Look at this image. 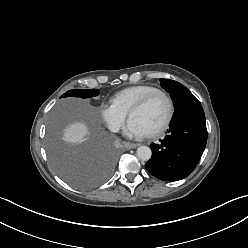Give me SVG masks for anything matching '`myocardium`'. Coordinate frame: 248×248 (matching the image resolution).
<instances>
[{
	"instance_id": "1",
	"label": "myocardium",
	"mask_w": 248,
	"mask_h": 248,
	"mask_svg": "<svg viewBox=\"0 0 248 248\" xmlns=\"http://www.w3.org/2000/svg\"><path fill=\"white\" fill-rule=\"evenodd\" d=\"M158 96L162 97L165 100L167 104V114L164 120L162 121V123L157 128L147 133L149 137H157L161 135L169 127L175 111L174 102L171 96L165 91L158 89L156 91H153L145 95L143 98L138 100L128 111V116L130 118L133 112L146 107L154 98Z\"/></svg>"
}]
</instances>
